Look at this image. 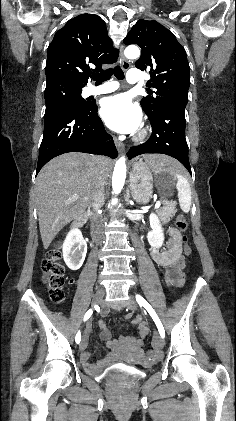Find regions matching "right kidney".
Segmentation results:
<instances>
[{
    "instance_id": "right-kidney-1",
    "label": "right kidney",
    "mask_w": 236,
    "mask_h": 421,
    "mask_svg": "<svg viewBox=\"0 0 236 421\" xmlns=\"http://www.w3.org/2000/svg\"><path fill=\"white\" fill-rule=\"evenodd\" d=\"M62 251L67 267L71 271H78L82 267L87 253V243L84 241L79 229H72L68 233L63 243Z\"/></svg>"
}]
</instances>
